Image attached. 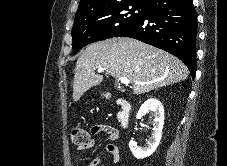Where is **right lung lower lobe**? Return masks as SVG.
I'll list each match as a JSON object with an SVG mask.
<instances>
[{
    "mask_svg": "<svg viewBox=\"0 0 227 166\" xmlns=\"http://www.w3.org/2000/svg\"><path fill=\"white\" fill-rule=\"evenodd\" d=\"M144 16L116 37H131L178 57L196 72L197 18L192 0H153Z\"/></svg>",
    "mask_w": 227,
    "mask_h": 166,
    "instance_id": "right-lung-lower-lobe-1",
    "label": "right lung lower lobe"
}]
</instances>
